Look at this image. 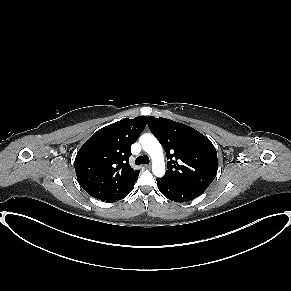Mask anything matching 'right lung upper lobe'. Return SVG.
I'll list each match as a JSON object with an SVG mask.
<instances>
[{
	"label": "right lung upper lobe",
	"instance_id": "1",
	"mask_svg": "<svg viewBox=\"0 0 291 291\" xmlns=\"http://www.w3.org/2000/svg\"><path fill=\"white\" fill-rule=\"evenodd\" d=\"M146 124V116L123 119L98 130L82 145L75 172L89 195L109 202L137 181L139 171L129 165L130 147Z\"/></svg>",
	"mask_w": 291,
	"mask_h": 291
}]
</instances>
